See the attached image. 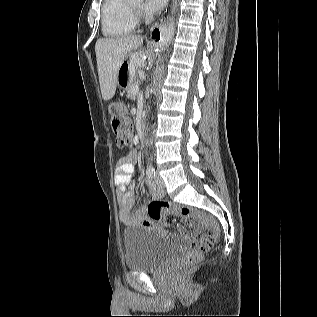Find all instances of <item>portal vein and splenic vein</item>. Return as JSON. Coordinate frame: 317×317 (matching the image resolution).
I'll list each match as a JSON object with an SVG mask.
<instances>
[{
    "mask_svg": "<svg viewBox=\"0 0 317 317\" xmlns=\"http://www.w3.org/2000/svg\"><path fill=\"white\" fill-rule=\"evenodd\" d=\"M138 91H139V86L138 85L134 86L132 90L133 94H137Z\"/></svg>",
    "mask_w": 317,
    "mask_h": 317,
    "instance_id": "obj_1",
    "label": "portal vein and splenic vein"
}]
</instances>
